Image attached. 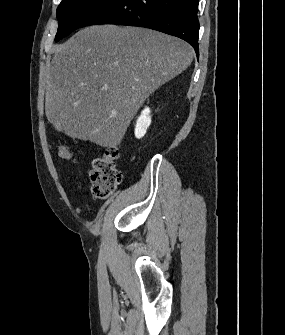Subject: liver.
Instances as JSON below:
<instances>
[{
    "label": "liver",
    "mask_w": 285,
    "mask_h": 335,
    "mask_svg": "<svg viewBox=\"0 0 285 335\" xmlns=\"http://www.w3.org/2000/svg\"><path fill=\"white\" fill-rule=\"evenodd\" d=\"M45 114L58 132L116 148L143 102L190 66L186 42L131 26H90L54 46Z\"/></svg>",
    "instance_id": "6515ba94"
}]
</instances>
